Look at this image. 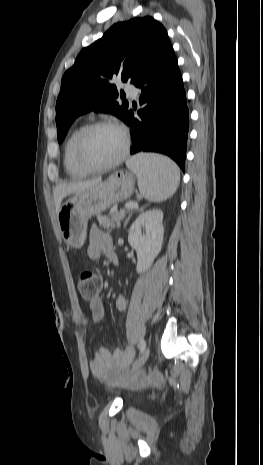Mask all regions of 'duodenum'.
Segmentation results:
<instances>
[{"label": "duodenum", "instance_id": "duodenum-1", "mask_svg": "<svg viewBox=\"0 0 263 465\" xmlns=\"http://www.w3.org/2000/svg\"><path fill=\"white\" fill-rule=\"evenodd\" d=\"M110 259H111L115 264H117V257H116V255H115L114 252H112V253L110 254Z\"/></svg>", "mask_w": 263, "mask_h": 465}]
</instances>
